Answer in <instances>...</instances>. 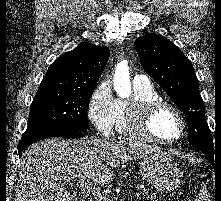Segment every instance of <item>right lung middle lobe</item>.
<instances>
[{"label": "right lung middle lobe", "instance_id": "right-lung-middle-lobe-1", "mask_svg": "<svg viewBox=\"0 0 221 201\" xmlns=\"http://www.w3.org/2000/svg\"><path fill=\"white\" fill-rule=\"evenodd\" d=\"M93 91L38 89L31 104L26 132L44 128H67L86 132L90 129L87 110Z\"/></svg>", "mask_w": 221, "mask_h": 201}]
</instances>
